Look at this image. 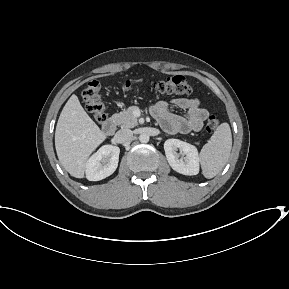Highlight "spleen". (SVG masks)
<instances>
[{
    "label": "spleen",
    "instance_id": "3e777b00",
    "mask_svg": "<svg viewBox=\"0 0 289 289\" xmlns=\"http://www.w3.org/2000/svg\"><path fill=\"white\" fill-rule=\"evenodd\" d=\"M232 149V134L228 123L220 124L200 152L199 160L205 178L215 177L226 165Z\"/></svg>",
    "mask_w": 289,
    "mask_h": 289
}]
</instances>
